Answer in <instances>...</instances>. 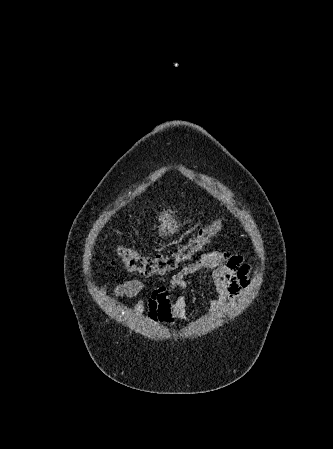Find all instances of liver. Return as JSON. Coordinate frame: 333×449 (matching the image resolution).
Returning <instances> with one entry per match:
<instances>
[{"label": "liver", "mask_w": 333, "mask_h": 449, "mask_svg": "<svg viewBox=\"0 0 333 449\" xmlns=\"http://www.w3.org/2000/svg\"><path fill=\"white\" fill-rule=\"evenodd\" d=\"M159 221H161V225L159 227V234L160 235H167L166 230H168V233L173 234L174 232L178 231V225L175 219L168 214L165 210L162 214L159 216Z\"/></svg>", "instance_id": "1"}]
</instances>
